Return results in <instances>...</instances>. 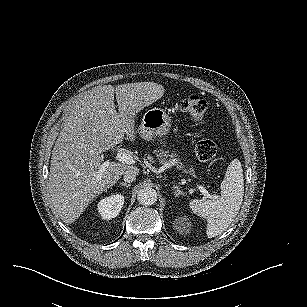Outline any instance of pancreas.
<instances>
[{
	"mask_svg": "<svg viewBox=\"0 0 307 307\" xmlns=\"http://www.w3.org/2000/svg\"><path fill=\"white\" fill-rule=\"evenodd\" d=\"M154 154L159 164L171 166H177L179 169L182 166L180 159L175 154L170 153L168 149L155 150Z\"/></svg>",
	"mask_w": 307,
	"mask_h": 307,
	"instance_id": "pancreas-1",
	"label": "pancreas"
}]
</instances>
